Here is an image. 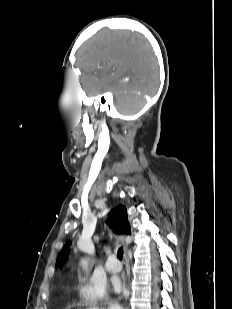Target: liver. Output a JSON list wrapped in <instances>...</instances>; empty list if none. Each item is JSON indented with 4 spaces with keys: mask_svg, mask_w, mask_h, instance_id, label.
Wrapping results in <instances>:
<instances>
[{
    "mask_svg": "<svg viewBox=\"0 0 232 309\" xmlns=\"http://www.w3.org/2000/svg\"><path fill=\"white\" fill-rule=\"evenodd\" d=\"M88 309H102V308L92 307V308H88Z\"/></svg>",
    "mask_w": 232,
    "mask_h": 309,
    "instance_id": "liver-1",
    "label": "liver"
}]
</instances>
